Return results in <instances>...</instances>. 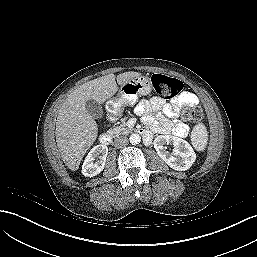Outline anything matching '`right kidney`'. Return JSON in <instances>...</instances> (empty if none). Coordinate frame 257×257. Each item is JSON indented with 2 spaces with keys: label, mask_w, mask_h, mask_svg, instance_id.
Returning <instances> with one entry per match:
<instances>
[{
  "label": "right kidney",
  "mask_w": 257,
  "mask_h": 257,
  "mask_svg": "<svg viewBox=\"0 0 257 257\" xmlns=\"http://www.w3.org/2000/svg\"><path fill=\"white\" fill-rule=\"evenodd\" d=\"M107 153L108 148L106 145L94 146L84 160L82 174L86 177L98 175L104 169ZM96 158H99V160L94 162Z\"/></svg>",
  "instance_id": "ca27d5eb"
}]
</instances>
